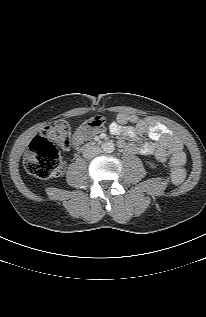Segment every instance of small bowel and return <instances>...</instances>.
Listing matches in <instances>:
<instances>
[{
	"instance_id": "c3829d8e",
	"label": "small bowel",
	"mask_w": 206,
	"mask_h": 317,
	"mask_svg": "<svg viewBox=\"0 0 206 317\" xmlns=\"http://www.w3.org/2000/svg\"><path fill=\"white\" fill-rule=\"evenodd\" d=\"M109 129L114 135L128 138H133L138 134L148 135L151 139L150 142L137 145L121 141L120 145L130 153L153 156L158 162H165L171 155L180 153L183 148L181 140L174 136L165 125L151 118H141L132 113H119L116 121L110 124ZM80 141L75 138V143Z\"/></svg>"
}]
</instances>
